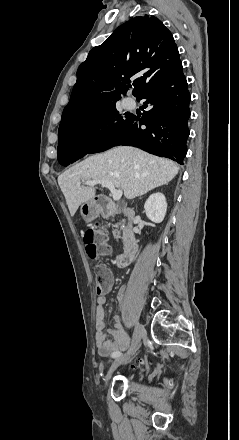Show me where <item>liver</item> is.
I'll return each instance as SVG.
<instances>
[{"instance_id": "obj_1", "label": "liver", "mask_w": 239, "mask_h": 440, "mask_svg": "<svg viewBox=\"0 0 239 440\" xmlns=\"http://www.w3.org/2000/svg\"><path fill=\"white\" fill-rule=\"evenodd\" d=\"M179 168L172 160L157 158L138 148L118 146L103 154L89 156L80 164L72 166L58 178L71 216L79 206L96 198L92 186H79L81 180H105L123 190L127 200L143 196L154 188L171 182Z\"/></svg>"}]
</instances>
